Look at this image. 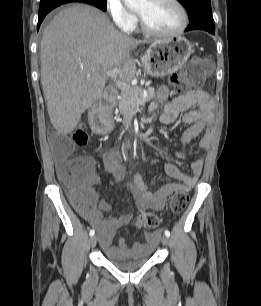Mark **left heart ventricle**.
Instances as JSON below:
<instances>
[{"label":"left heart ventricle","mask_w":261,"mask_h":306,"mask_svg":"<svg viewBox=\"0 0 261 306\" xmlns=\"http://www.w3.org/2000/svg\"><path fill=\"white\" fill-rule=\"evenodd\" d=\"M135 11L155 30L170 32L181 21L180 12L169 0H140Z\"/></svg>","instance_id":"1"}]
</instances>
